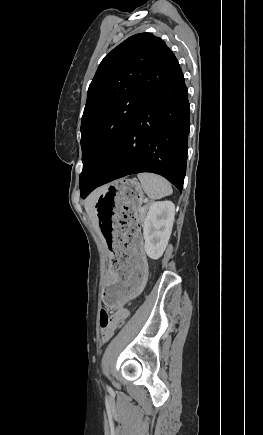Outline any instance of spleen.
I'll list each match as a JSON object with an SVG mask.
<instances>
[{
  "mask_svg": "<svg viewBox=\"0 0 263 435\" xmlns=\"http://www.w3.org/2000/svg\"><path fill=\"white\" fill-rule=\"evenodd\" d=\"M138 179L144 192L153 200L172 194L170 183L162 176L153 173H140Z\"/></svg>",
  "mask_w": 263,
  "mask_h": 435,
  "instance_id": "obj_1",
  "label": "spleen"
}]
</instances>
